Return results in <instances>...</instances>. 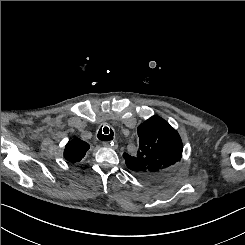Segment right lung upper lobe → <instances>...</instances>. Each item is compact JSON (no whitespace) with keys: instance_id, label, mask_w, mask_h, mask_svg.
I'll return each instance as SVG.
<instances>
[{"instance_id":"1","label":"right lung upper lobe","mask_w":245,"mask_h":245,"mask_svg":"<svg viewBox=\"0 0 245 245\" xmlns=\"http://www.w3.org/2000/svg\"><path fill=\"white\" fill-rule=\"evenodd\" d=\"M89 148V144L79 138H74L66 144L64 158L71 163H77L85 156Z\"/></svg>"}]
</instances>
